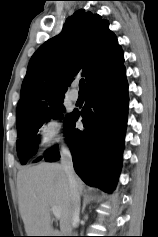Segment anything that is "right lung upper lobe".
Returning a JSON list of instances; mask_svg holds the SVG:
<instances>
[{
	"mask_svg": "<svg viewBox=\"0 0 158 237\" xmlns=\"http://www.w3.org/2000/svg\"><path fill=\"white\" fill-rule=\"evenodd\" d=\"M124 62L109 22L83 9L69 17L61 34L46 41L30 59L17 105V119L40 113L64 99L72 80L84 76L86 88Z\"/></svg>",
	"mask_w": 158,
	"mask_h": 237,
	"instance_id": "cb5924a9",
	"label": "right lung upper lobe"
}]
</instances>
